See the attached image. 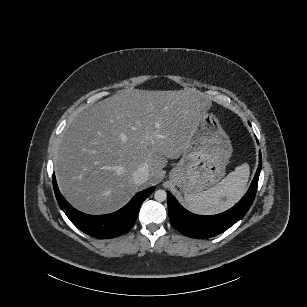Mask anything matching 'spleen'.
<instances>
[{"label":"spleen","mask_w":307,"mask_h":307,"mask_svg":"<svg viewBox=\"0 0 307 307\" xmlns=\"http://www.w3.org/2000/svg\"><path fill=\"white\" fill-rule=\"evenodd\" d=\"M250 171V164L244 162L212 188L184 194L189 210L197 215L210 216L231 209L244 197Z\"/></svg>","instance_id":"spleen-1"}]
</instances>
